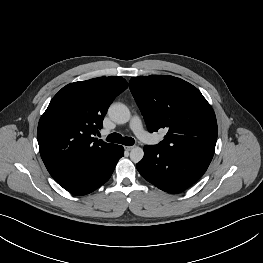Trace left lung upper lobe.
<instances>
[{
  "label": "left lung upper lobe",
  "mask_w": 263,
  "mask_h": 263,
  "mask_svg": "<svg viewBox=\"0 0 263 263\" xmlns=\"http://www.w3.org/2000/svg\"><path fill=\"white\" fill-rule=\"evenodd\" d=\"M130 90L150 132L168 128L157 146L210 163L217 140L215 113L190 83L173 76H139Z\"/></svg>",
  "instance_id": "obj_1"
}]
</instances>
